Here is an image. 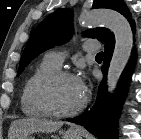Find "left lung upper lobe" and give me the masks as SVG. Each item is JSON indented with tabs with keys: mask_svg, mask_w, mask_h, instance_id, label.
Masks as SVG:
<instances>
[{
	"mask_svg": "<svg viewBox=\"0 0 141 139\" xmlns=\"http://www.w3.org/2000/svg\"><path fill=\"white\" fill-rule=\"evenodd\" d=\"M94 8H110L121 13L130 24L131 14L123 0H95ZM72 35V11L69 9H57L46 17L33 31L20 60L17 75H20L24 68L46 49L61 45L67 42ZM84 35L97 38L106 43L113 35L106 28H96L84 32Z\"/></svg>",
	"mask_w": 141,
	"mask_h": 139,
	"instance_id": "1",
	"label": "left lung upper lobe"
}]
</instances>
